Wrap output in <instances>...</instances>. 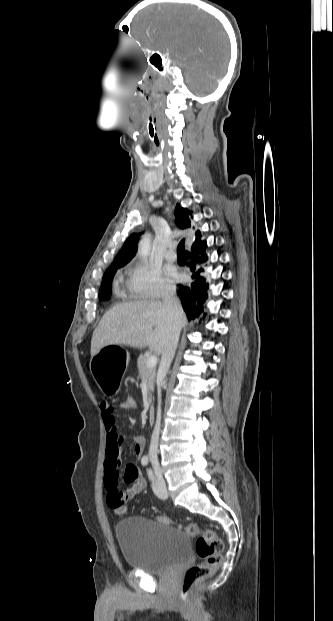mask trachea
<instances>
[{"mask_svg":"<svg viewBox=\"0 0 333 621\" xmlns=\"http://www.w3.org/2000/svg\"><path fill=\"white\" fill-rule=\"evenodd\" d=\"M177 253L181 254V255H185V247H184V240L180 241L178 247H177Z\"/></svg>","mask_w":333,"mask_h":621,"instance_id":"obj_1","label":"trachea"}]
</instances>
